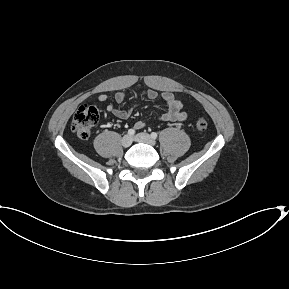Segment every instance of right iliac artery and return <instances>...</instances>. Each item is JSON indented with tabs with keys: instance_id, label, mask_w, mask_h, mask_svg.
<instances>
[{
	"instance_id": "obj_1",
	"label": "right iliac artery",
	"mask_w": 289,
	"mask_h": 289,
	"mask_svg": "<svg viewBox=\"0 0 289 289\" xmlns=\"http://www.w3.org/2000/svg\"><path fill=\"white\" fill-rule=\"evenodd\" d=\"M135 134V130L134 129H129L128 130V135L129 136H133Z\"/></svg>"
}]
</instances>
